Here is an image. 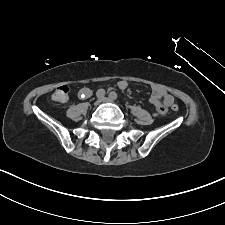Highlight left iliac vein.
Returning a JSON list of instances; mask_svg holds the SVG:
<instances>
[{
  "mask_svg": "<svg viewBox=\"0 0 225 225\" xmlns=\"http://www.w3.org/2000/svg\"><path fill=\"white\" fill-rule=\"evenodd\" d=\"M103 102H106V103H113V99L109 98V97H105L102 99Z\"/></svg>",
  "mask_w": 225,
  "mask_h": 225,
  "instance_id": "1",
  "label": "left iliac vein"
}]
</instances>
